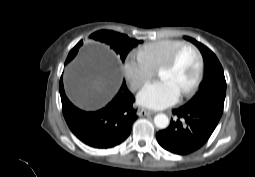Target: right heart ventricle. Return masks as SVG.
<instances>
[{
  "label": "right heart ventricle",
  "instance_id": "obj_1",
  "mask_svg": "<svg viewBox=\"0 0 255 177\" xmlns=\"http://www.w3.org/2000/svg\"><path fill=\"white\" fill-rule=\"evenodd\" d=\"M183 43L184 41L175 39L158 40L144 45L140 49V53L156 69L166 62Z\"/></svg>",
  "mask_w": 255,
  "mask_h": 177
}]
</instances>
